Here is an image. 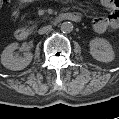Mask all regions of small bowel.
<instances>
[{
	"label": "small bowel",
	"instance_id": "small-bowel-1",
	"mask_svg": "<svg viewBox=\"0 0 119 119\" xmlns=\"http://www.w3.org/2000/svg\"><path fill=\"white\" fill-rule=\"evenodd\" d=\"M25 4L26 1H22ZM101 5L110 11L106 17L95 18L92 21V29L97 34H102L106 31H113L119 27V0H102ZM18 10L12 12V17L17 18Z\"/></svg>",
	"mask_w": 119,
	"mask_h": 119
}]
</instances>
